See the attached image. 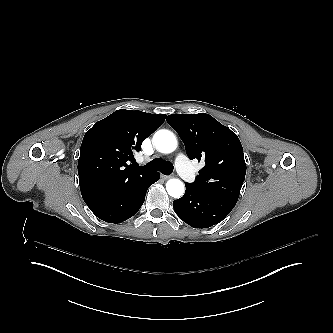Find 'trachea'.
<instances>
[{
  "label": "trachea",
  "mask_w": 333,
  "mask_h": 333,
  "mask_svg": "<svg viewBox=\"0 0 333 333\" xmlns=\"http://www.w3.org/2000/svg\"><path fill=\"white\" fill-rule=\"evenodd\" d=\"M142 168L151 171H161L164 175H170L173 172V165L170 162H162L161 159L156 158L149 163H147Z\"/></svg>",
  "instance_id": "3493384b"
}]
</instances>
